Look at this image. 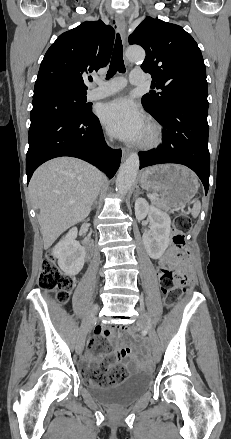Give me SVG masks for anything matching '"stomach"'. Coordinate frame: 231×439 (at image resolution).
I'll list each match as a JSON object with an SVG mask.
<instances>
[{"mask_svg": "<svg viewBox=\"0 0 231 439\" xmlns=\"http://www.w3.org/2000/svg\"><path fill=\"white\" fill-rule=\"evenodd\" d=\"M146 190L159 194L164 208H178L189 202L199 188L197 176L188 168L166 164L146 169L140 176Z\"/></svg>", "mask_w": 231, "mask_h": 439, "instance_id": "1", "label": "stomach"}]
</instances>
